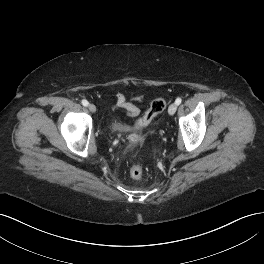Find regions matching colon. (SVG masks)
I'll return each mask as SVG.
<instances>
[{"mask_svg":"<svg viewBox=\"0 0 264 264\" xmlns=\"http://www.w3.org/2000/svg\"><path fill=\"white\" fill-rule=\"evenodd\" d=\"M166 107V102L162 98H157L152 101L147 111L144 113L141 119L138 120L136 125L138 127L146 126L152 122V120L160 114ZM144 170L141 165L135 164L130 168V176L133 179H139L143 176Z\"/></svg>","mask_w":264,"mask_h":264,"instance_id":"obj_1","label":"colon"}]
</instances>
